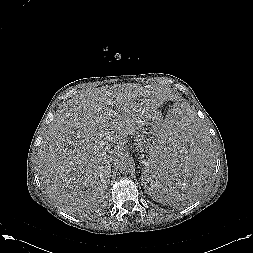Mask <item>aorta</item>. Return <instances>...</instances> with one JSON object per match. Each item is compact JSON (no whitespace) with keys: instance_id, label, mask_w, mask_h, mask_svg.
I'll return each instance as SVG.
<instances>
[{"instance_id":"1","label":"aorta","mask_w":253,"mask_h":253,"mask_svg":"<svg viewBox=\"0 0 253 253\" xmlns=\"http://www.w3.org/2000/svg\"><path fill=\"white\" fill-rule=\"evenodd\" d=\"M118 167H119V172L125 175L130 174L131 172L135 170L134 161L130 157L122 158L121 161L119 162Z\"/></svg>"}]
</instances>
